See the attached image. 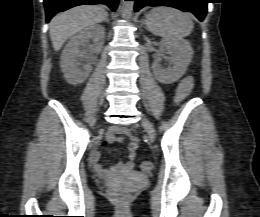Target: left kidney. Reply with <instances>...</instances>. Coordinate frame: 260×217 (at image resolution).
<instances>
[{
    "label": "left kidney",
    "mask_w": 260,
    "mask_h": 217,
    "mask_svg": "<svg viewBox=\"0 0 260 217\" xmlns=\"http://www.w3.org/2000/svg\"><path fill=\"white\" fill-rule=\"evenodd\" d=\"M160 51L170 55L171 67H161L158 58L153 62L152 68L156 79L162 84H172L178 81L186 72L193 55V50L188 42L181 39H163L160 43Z\"/></svg>",
    "instance_id": "left-kidney-1"
}]
</instances>
